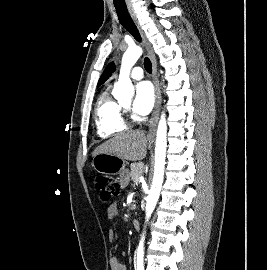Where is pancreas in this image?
Instances as JSON below:
<instances>
[{"instance_id":"obj_1","label":"pancreas","mask_w":267,"mask_h":270,"mask_svg":"<svg viewBox=\"0 0 267 270\" xmlns=\"http://www.w3.org/2000/svg\"><path fill=\"white\" fill-rule=\"evenodd\" d=\"M144 164L142 162L131 164V179L133 182H136L140 175L143 173Z\"/></svg>"}]
</instances>
